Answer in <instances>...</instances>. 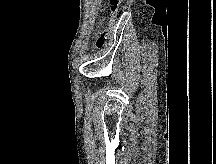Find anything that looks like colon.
Returning <instances> with one entry per match:
<instances>
[{"label": "colon", "mask_w": 216, "mask_h": 164, "mask_svg": "<svg viewBox=\"0 0 216 164\" xmlns=\"http://www.w3.org/2000/svg\"><path fill=\"white\" fill-rule=\"evenodd\" d=\"M122 2L123 0H109L110 18L108 22L101 26L96 34V47L98 49H103L110 40L118 16L119 7Z\"/></svg>", "instance_id": "5ec220e1"}]
</instances>
